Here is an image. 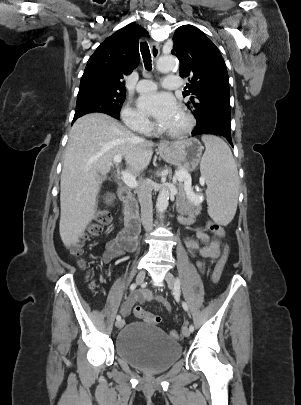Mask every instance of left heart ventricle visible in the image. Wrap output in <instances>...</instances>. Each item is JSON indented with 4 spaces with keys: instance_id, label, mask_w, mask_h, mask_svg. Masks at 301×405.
<instances>
[{
    "instance_id": "1",
    "label": "left heart ventricle",
    "mask_w": 301,
    "mask_h": 405,
    "mask_svg": "<svg viewBox=\"0 0 301 405\" xmlns=\"http://www.w3.org/2000/svg\"><path fill=\"white\" fill-rule=\"evenodd\" d=\"M183 125H184V119L180 115L177 118H175L173 121H171L170 123L164 125L163 128L166 130H177V129H180L181 127H183Z\"/></svg>"
}]
</instances>
